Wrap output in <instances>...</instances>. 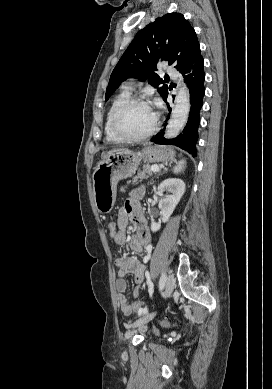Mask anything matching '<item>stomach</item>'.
Returning <instances> with one entry per match:
<instances>
[{"label":"stomach","mask_w":272,"mask_h":389,"mask_svg":"<svg viewBox=\"0 0 272 389\" xmlns=\"http://www.w3.org/2000/svg\"><path fill=\"white\" fill-rule=\"evenodd\" d=\"M175 151L168 146L145 145L140 151L115 152L101 161L93 173V196L99 213H109L116 201L117 184L134 174L141 161L168 162Z\"/></svg>","instance_id":"0dacf381"}]
</instances>
